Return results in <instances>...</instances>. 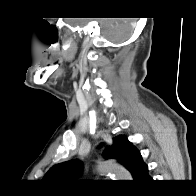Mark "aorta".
I'll return each mask as SVG.
<instances>
[{"mask_svg": "<svg viewBox=\"0 0 196 196\" xmlns=\"http://www.w3.org/2000/svg\"><path fill=\"white\" fill-rule=\"evenodd\" d=\"M97 169L103 173H109L116 178V180H131V174L121 165L112 162L105 161L100 162Z\"/></svg>", "mask_w": 196, "mask_h": 196, "instance_id": "aorta-1", "label": "aorta"}]
</instances>
